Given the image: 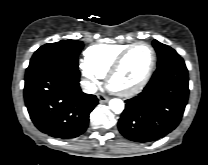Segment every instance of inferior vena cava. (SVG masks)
I'll list each match as a JSON object with an SVG mask.
<instances>
[{
    "label": "inferior vena cava",
    "mask_w": 208,
    "mask_h": 165,
    "mask_svg": "<svg viewBox=\"0 0 208 165\" xmlns=\"http://www.w3.org/2000/svg\"><path fill=\"white\" fill-rule=\"evenodd\" d=\"M82 89L85 93L94 94L97 91L95 84L90 82H81Z\"/></svg>",
    "instance_id": "602c4592"
}]
</instances>
